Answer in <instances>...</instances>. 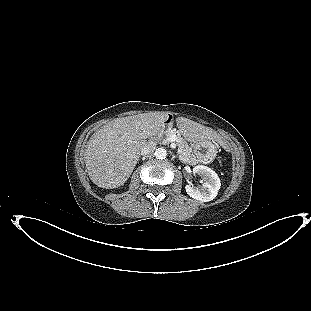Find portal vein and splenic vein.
I'll use <instances>...</instances> for the list:
<instances>
[{"mask_svg":"<svg viewBox=\"0 0 311 311\" xmlns=\"http://www.w3.org/2000/svg\"><path fill=\"white\" fill-rule=\"evenodd\" d=\"M167 140L169 141V142H174V141H177V137H176V135H170L168 138H167Z\"/></svg>","mask_w":311,"mask_h":311,"instance_id":"portal-vein-and-splenic-vein-1","label":"portal vein and splenic vein"}]
</instances>
